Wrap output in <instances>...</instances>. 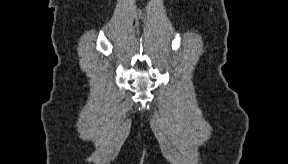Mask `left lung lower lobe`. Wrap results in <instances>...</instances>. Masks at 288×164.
I'll return each mask as SVG.
<instances>
[{
  "instance_id": "obj_1",
  "label": "left lung lower lobe",
  "mask_w": 288,
  "mask_h": 164,
  "mask_svg": "<svg viewBox=\"0 0 288 164\" xmlns=\"http://www.w3.org/2000/svg\"><path fill=\"white\" fill-rule=\"evenodd\" d=\"M250 85L260 88L264 83V75L259 69H252L249 72Z\"/></svg>"
}]
</instances>
